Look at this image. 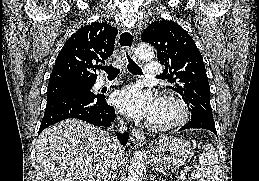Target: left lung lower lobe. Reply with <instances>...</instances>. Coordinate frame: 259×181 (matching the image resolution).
I'll list each match as a JSON object with an SVG mask.
<instances>
[{"label": "left lung lower lobe", "instance_id": "left-lung-lower-lobe-1", "mask_svg": "<svg viewBox=\"0 0 259 181\" xmlns=\"http://www.w3.org/2000/svg\"><path fill=\"white\" fill-rule=\"evenodd\" d=\"M191 128L207 129V130L213 132L215 135H217L215 124L205 122V121L192 120L191 122L182 126L178 131H182V130H185V129H191Z\"/></svg>", "mask_w": 259, "mask_h": 181}]
</instances>
